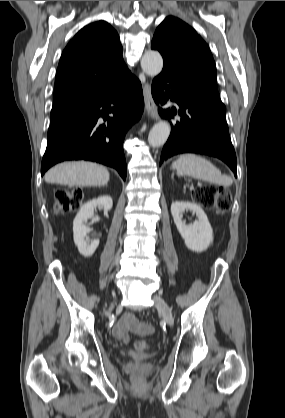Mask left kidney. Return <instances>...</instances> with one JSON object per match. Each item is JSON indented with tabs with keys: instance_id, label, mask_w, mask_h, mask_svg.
<instances>
[{
	"instance_id": "1",
	"label": "left kidney",
	"mask_w": 285,
	"mask_h": 418,
	"mask_svg": "<svg viewBox=\"0 0 285 418\" xmlns=\"http://www.w3.org/2000/svg\"><path fill=\"white\" fill-rule=\"evenodd\" d=\"M187 210L194 212L198 218V220L189 225L182 219L183 213ZM171 214L188 249L195 252H203L213 242V230L207 215L196 203L175 201L171 204Z\"/></svg>"
}]
</instances>
